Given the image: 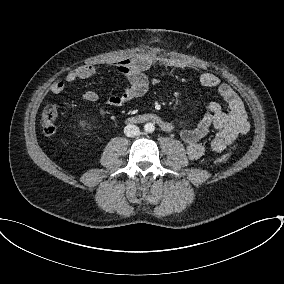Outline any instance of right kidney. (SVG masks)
<instances>
[{"mask_svg":"<svg viewBox=\"0 0 284 284\" xmlns=\"http://www.w3.org/2000/svg\"><path fill=\"white\" fill-rule=\"evenodd\" d=\"M80 124H81V126H83V127H84V125H85V123H83V122H81Z\"/></svg>","mask_w":284,"mask_h":284,"instance_id":"ca27d5eb","label":"right kidney"}]
</instances>
